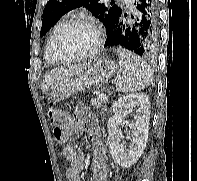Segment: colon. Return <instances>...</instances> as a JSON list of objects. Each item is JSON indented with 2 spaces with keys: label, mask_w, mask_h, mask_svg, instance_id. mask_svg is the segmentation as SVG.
Listing matches in <instances>:
<instances>
[{
  "label": "colon",
  "mask_w": 197,
  "mask_h": 181,
  "mask_svg": "<svg viewBox=\"0 0 197 181\" xmlns=\"http://www.w3.org/2000/svg\"><path fill=\"white\" fill-rule=\"evenodd\" d=\"M49 118L55 137L63 140L68 135L70 118L66 114L54 110H49Z\"/></svg>",
  "instance_id": "5ec220e1"
}]
</instances>
